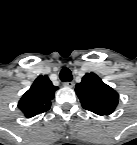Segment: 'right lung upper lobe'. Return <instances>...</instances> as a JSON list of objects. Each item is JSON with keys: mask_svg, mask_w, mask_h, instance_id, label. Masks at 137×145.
Instances as JSON below:
<instances>
[{"mask_svg": "<svg viewBox=\"0 0 137 145\" xmlns=\"http://www.w3.org/2000/svg\"><path fill=\"white\" fill-rule=\"evenodd\" d=\"M57 89L58 87L52 84L47 75H40L21 97L18 107L27 118L46 112L52 104Z\"/></svg>", "mask_w": 137, "mask_h": 145, "instance_id": "obj_1", "label": "right lung upper lobe"}]
</instances>
